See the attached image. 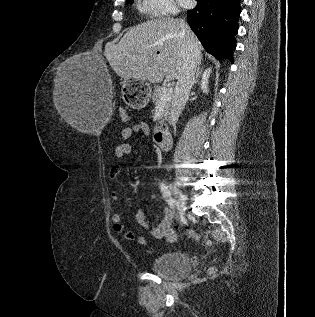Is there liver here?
<instances>
[{
	"label": "liver",
	"mask_w": 315,
	"mask_h": 317,
	"mask_svg": "<svg viewBox=\"0 0 315 317\" xmlns=\"http://www.w3.org/2000/svg\"><path fill=\"white\" fill-rule=\"evenodd\" d=\"M186 41L200 57L201 45L183 20L160 18L129 29L117 45H106L104 55L122 79L155 84L164 78L172 81L179 77Z\"/></svg>",
	"instance_id": "liver-1"
}]
</instances>
